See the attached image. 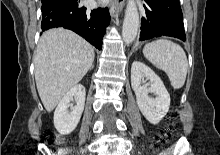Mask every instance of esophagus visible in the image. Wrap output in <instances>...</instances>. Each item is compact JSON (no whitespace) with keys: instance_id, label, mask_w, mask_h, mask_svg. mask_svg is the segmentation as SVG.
Segmentation results:
<instances>
[{"instance_id":"obj_1","label":"esophagus","mask_w":220,"mask_h":155,"mask_svg":"<svg viewBox=\"0 0 220 155\" xmlns=\"http://www.w3.org/2000/svg\"><path fill=\"white\" fill-rule=\"evenodd\" d=\"M125 0H113L110 4V14L113 16L117 11H121Z\"/></svg>"}]
</instances>
